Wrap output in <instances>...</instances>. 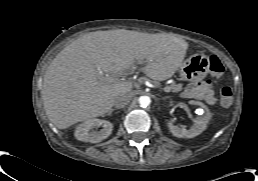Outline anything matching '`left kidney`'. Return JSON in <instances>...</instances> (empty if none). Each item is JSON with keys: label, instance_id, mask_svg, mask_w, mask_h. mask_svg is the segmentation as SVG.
<instances>
[{"label": "left kidney", "instance_id": "5707ae66", "mask_svg": "<svg viewBox=\"0 0 258 181\" xmlns=\"http://www.w3.org/2000/svg\"><path fill=\"white\" fill-rule=\"evenodd\" d=\"M192 105L199 106L198 109L200 113V117L195 118L194 125L190 129H185L184 127H179L173 125L171 122H168V127L171 133L178 138H193L199 134H201L207 127L208 122L211 119V113L209 112L208 108L199 101L191 100L189 102Z\"/></svg>", "mask_w": 258, "mask_h": 181}]
</instances>
